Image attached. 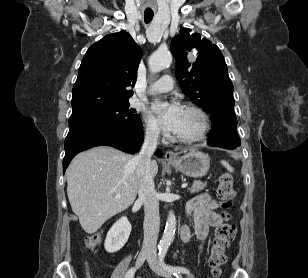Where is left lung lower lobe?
<instances>
[{
    "mask_svg": "<svg viewBox=\"0 0 308 278\" xmlns=\"http://www.w3.org/2000/svg\"><path fill=\"white\" fill-rule=\"evenodd\" d=\"M213 128L209 132V146L221 147L225 149H235L241 145L237 133V118L234 109L231 107L220 108L211 113Z\"/></svg>",
    "mask_w": 308,
    "mask_h": 278,
    "instance_id": "1",
    "label": "left lung lower lobe"
}]
</instances>
